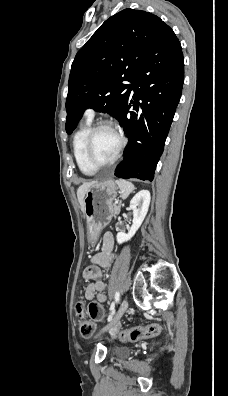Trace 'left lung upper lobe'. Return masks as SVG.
<instances>
[{
	"instance_id": "obj_1",
	"label": "left lung upper lobe",
	"mask_w": 228,
	"mask_h": 396,
	"mask_svg": "<svg viewBox=\"0 0 228 396\" xmlns=\"http://www.w3.org/2000/svg\"><path fill=\"white\" fill-rule=\"evenodd\" d=\"M169 28L159 17L124 9L107 19L78 51L66 99V132L71 134L87 108L120 120L131 85L155 38Z\"/></svg>"
}]
</instances>
